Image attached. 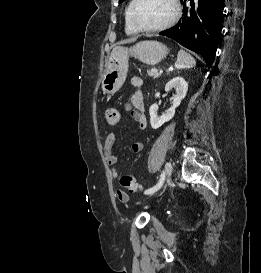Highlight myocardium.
Returning a JSON list of instances; mask_svg holds the SVG:
<instances>
[{"label":"myocardium","mask_w":261,"mask_h":273,"mask_svg":"<svg viewBox=\"0 0 261 273\" xmlns=\"http://www.w3.org/2000/svg\"><path fill=\"white\" fill-rule=\"evenodd\" d=\"M137 2H138V0H132L129 10H128L129 23L132 26V28L137 32H144V33L161 32L166 29H169L170 27L175 25V23L178 21L179 14H180V6L178 3V0H170V3L172 4L173 12H172V16L170 17V19L167 22H165L161 25L155 26V27H148V28L140 27L135 23V21L133 19V12H134Z\"/></svg>","instance_id":"myocardium-1"}]
</instances>
